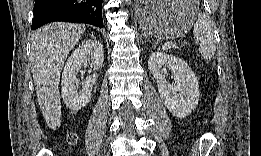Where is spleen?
Here are the masks:
<instances>
[{
	"instance_id": "3e777b00",
	"label": "spleen",
	"mask_w": 261,
	"mask_h": 156,
	"mask_svg": "<svg viewBox=\"0 0 261 156\" xmlns=\"http://www.w3.org/2000/svg\"><path fill=\"white\" fill-rule=\"evenodd\" d=\"M193 33L195 38L200 41L199 52L205 60L211 59L216 52V41L213 27L204 14L198 16L194 25Z\"/></svg>"
}]
</instances>
